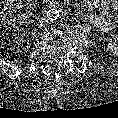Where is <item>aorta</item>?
I'll use <instances>...</instances> for the list:
<instances>
[{"label":"aorta","mask_w":118,"mask_h":118,"mask_svg":"<svg viewBox=\"0 0 118 118\" xmlns=\"http://www.w3.org/2000/svg\"><path fill=\"white\" fill-rule=\"evenodd\" d=\"M46 17L49 20H56L59 17V11L57 9H50L46 13Z\"/></svg>","instance_id":"1"}]
</instances>
